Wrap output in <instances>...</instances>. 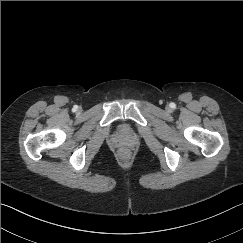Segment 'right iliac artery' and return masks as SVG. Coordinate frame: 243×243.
I'll return each instance as SVG.
<instances>
[{
	"label": "right iliac artery",
	"mask_w": 243,
	"mask_h": 243,
	"mask_svg": "<svg viewBox=\"0 0 243 243\" xmlns=\"http://www.w3.org/2000/svg\"><path fill=\"white\" fill-rule=\"evenodd\" d=\"M77 108H78V106H77V105H75V106L73 107V111H76V110H77Z\"/></svg>",
	"instance_id": "right-iliac-artery-1"
}]
</instances>
